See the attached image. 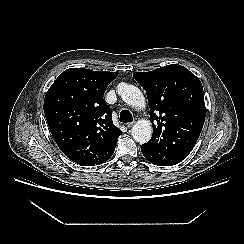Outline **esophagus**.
<instances>
[{
	"mask_svg": "<svg viewBox=\"0 0 244 244\" xmlns=\"http://www.w3.org/2000/svg\"><path fill=\"white\" fill-rule=\"evenodd\" d=\"M133 125H134V122H129V123L126 124V126H127L128 128H131Z\"/></svg>",
	"mask_w": 244,
	"mask_h": 244,
	"instance_id": "obj_1",
	"label": "esophagus"
}]
</instances>
